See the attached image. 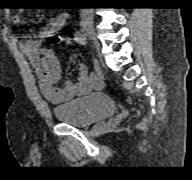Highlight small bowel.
<instances>
[{"label": "small bowel", "instance_id": "small-bowel-1", "mask_svg": "<svg viewBox=\"0 0 192 180\" xmlns=\"http://www.w3.org/2000/svg\"><path fill=\"white\" fill-rule=\"evenodd\" d=\"M66 18L67 14L64 12L53 17L42 30V36H52L63 26ZM20 21V13L15 14L13 22L20 23ZM21 49L26 53L35 68L42 95L51 103H63L102 87L100 76L89 74L84 64L78 66L75 82L65 81L60 86H57L61 79V69L54 51L43 47L40 40L31 39L22 41Z\"/></svg>", "mask_w": 192, "mask_h": 180}]
</instances>
